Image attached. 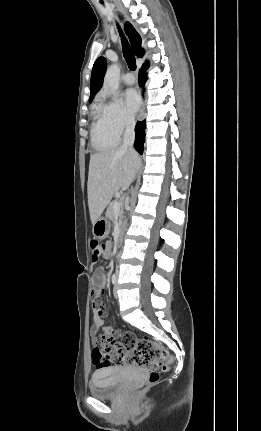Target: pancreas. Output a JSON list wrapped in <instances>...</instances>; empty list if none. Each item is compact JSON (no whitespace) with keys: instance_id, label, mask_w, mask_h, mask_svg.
<instances>
[{"instance_id":"obj_1","label":"pancreas","mask_w":261,"mask_h":431,"mask_svg":"<svg viewBox=\"0 0 261 431\" xmlns=\"http://www.w3.org/2000/svg\"><path fill=\"white\" fill-rule=\"evenodd\" d=\"M117 202V200H113L109 203L107 211H106V217L110 220L113 221L114 217H115V210H114V203ZM122 213V212H121Z\"/></svg>"}]
</instances>
